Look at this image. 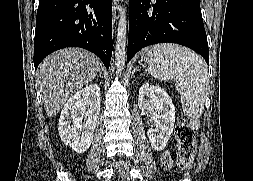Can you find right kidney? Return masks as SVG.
I'll use <instances>...</instances> for the list:
<instances>
[{"instance_id": "ca27d5eb", "label": "right kidney", "mask_w": 253, "mask_h": 181, "mask_svg": "<svg viewBox=\"0 0 253 181\" xmlns=\"http://www.w3.org/2000/svg\"><path fill=\"white\" fill-rule=\"evenodd\" d=\"M100 101L99 85L91 84L69 97L61 111L58 123L60 138L79 154L86 152L93 141Z\"/></svg>"}]
</instances>
